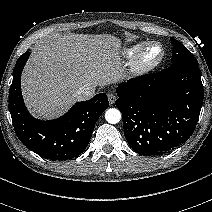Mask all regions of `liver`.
I'll use <instances>...</instances> for the list:
<instances>
[{
	"mask_svg": "<svg viewBox=\"0 0 212 212\" xmlns=\"http://www.w3.org/2000/svg\"><path fill=\"white\" fill-rule=\"evenodd\" d=\"M119 41L109 35L70 34L38 44L22 75L27 107L40 118L61 115L82 86H103L116 78Z\"/></svg>",
	"mask_w": 212,
	"mask_h": 212,
	"instance_id": "liver-1",
	"label": "liver"
}]
</instances>
